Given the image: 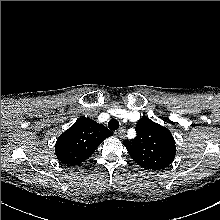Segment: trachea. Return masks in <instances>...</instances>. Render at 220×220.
I'll list each match as a JSON object with an SVG mask.
<instances>
[{
	"instance_id": "obj_1",
	"label": "trachea",
	"mask_w": 220,
	"mask_h": 220,
	"mask_svg": "<svg viewBox=\"0 0 220 220\" xmlns=\"http://www.w3.org/2000/svg\"><path fill=\"white\" fill-rule=\"evenodd\" d=\"M108 128L110 130H117L119 128V122L112 118L109 122H108Z\"/></svg>"
}]
</instances>
